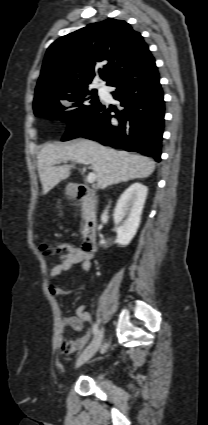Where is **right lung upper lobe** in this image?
I'll list each match as a JSON object with an SVG mask.
<instances>
[{"mask_svg": "<svg viewBox=\"0 0 208 425\" xmlns=\"http://www.w3.org/2000/svg\"><path fill=\"white\" fill-rule=\"evenodd\" d=\"M149 54L141 34L126 21L108 18L89 24L47 49L34 102L50 94L87 89L96 74L108 84Z\"/></svg>", "mask_w": 208, "mask_h": 425, "instance_id": "right-lung-upper-lobe-1", "label": "right lung upper lobe"}]
</instances>
